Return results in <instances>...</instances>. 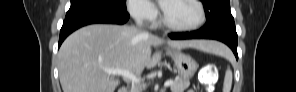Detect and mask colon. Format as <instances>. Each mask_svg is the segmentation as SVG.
<instances>
[{
	"instance_id": "obj_1",
	"label": "colon",
	"mask_w": 296,
	"mask_h": 92,
	"mask_svg": "<svg viewBox=\"0 0 296 92\" xmlns=\"http://www.w3.org/2000/svg\"><path fill=\"white\" fill-rule=\"evenodd\" d=\"M217 74V69L214 65H208L203 68L200 73V81L206 86H210L214 83Z\"/></svg>"
}]
</instances>
